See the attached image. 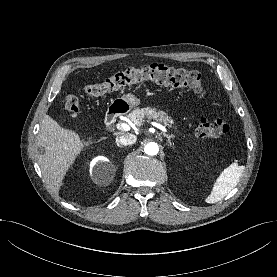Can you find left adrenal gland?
<instances>
[{
    "label": "left adrenal gland",
    "mask_w": 277,
    "mask_h": 277,
    "mask_svg": "<svg viewBox=\"0 0 277 277\" xmlns=\"http://www.w3.org/2000/svg\"><path fill=\"white\" fill-rule=\"evenodd\" d=\"M163 136L167 138L168 145L170 147H172L171 138H173V135H169V134L163 133Z\"/></svg>",
    "instance_id": "obj_1"
}]
</instances>
